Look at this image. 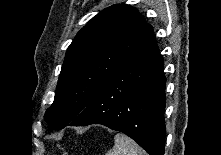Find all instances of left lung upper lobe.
Segmentation results:
<instances>
[{"instance_id":"obj_1","label":"left lung upper lobe","mask_w":221,"mask_h":155,"mask_svg":"<svg viewBox=\"0 0 221 155\" xmlns=\"http://www.w3.org/2000/svg\"><path fill=\"white\" fill-rule=\"evenodd\" d=\"M133 7L118 4L98 13L68 47L55 99L44 120L51 130L62 129L89 104L106 79L152 36Z\"/></svg>"}]
</instances>
